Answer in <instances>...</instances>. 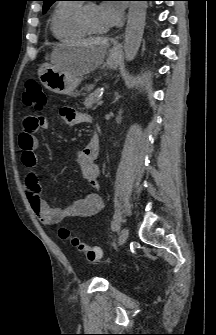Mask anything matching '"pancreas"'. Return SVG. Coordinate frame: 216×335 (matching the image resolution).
Returning a JSON list of instances; mask_svg holds the SVG:
<instances>
[{
  "mask_svg": "<svg viewBox=\"0 0 216 335\" xmlns=\"http://www.w3.org/2000/svg\"><path fill=\"white\" fill-rule=\"evenodd\" d=\"M99 93L100 91L97 89L94 92L90 93L84 101V106L86 109H92L95 110L96 109V104L99 101Z\"/></svg>",
  "mask_w": 216,
  "mask_h": 335,
  "instance_id": "obj_1",
  "label": "pancreas"
}]
</instances>
